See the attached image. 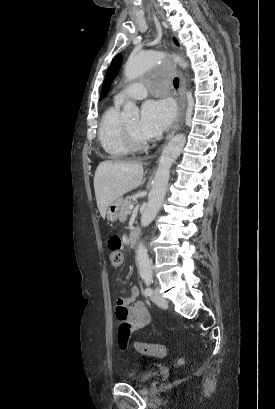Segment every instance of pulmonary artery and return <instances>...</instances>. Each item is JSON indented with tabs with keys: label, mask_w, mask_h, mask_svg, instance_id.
<instances>
[{
	"label": "pulmonary artery",
	"mask_w": 275,
	"mask_h": 409,
	"mask_svg": "<svg viewBox=\"0 0 275 409\" xmlns=\"http://www.w3.org/2000/svg\"><path fill=\"white\" fill-rule=\"evenodd\" d=\"M120 91L115 96V103L118 105L123 104L127 97H133L135 99H143L146 96L147 88L145 85H134L132 89L127 90L125 86L120 88Z\"/></svg>",
	"instance_id": "1"
}]
</instances>
